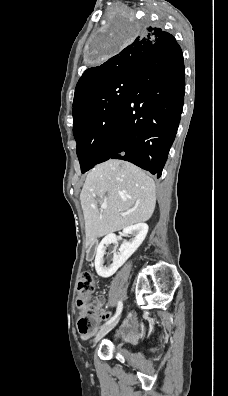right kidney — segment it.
I'll list each match as a JSON object with an SVG mask.
<instances>
[{"mask_svg": "<svg viewBox=\"0 0 228 396\" xmlns=\"http://www.w3.org/2000/svg\"><path fill=\"white\" fill-rule=\"evenodd\" d=\"M147 233L148 225L146 223H138L124 228L123 236H133V238L132 240L124 241L121 244L119 252L114 253L113 262L108 267L104 265L103 259L106 248L111 243L117 244L118 238L115 234H108L107 236H105L100 242L96 252L95 269L97 274L103 278H108L112 276L118 270V268H120L128 260V258L138 249V247L144 241Z\"/></svg>", "mask_w": 228, "mask_h": 396, "instance_id": "1", "label": "right kidney"}]
</instances>
